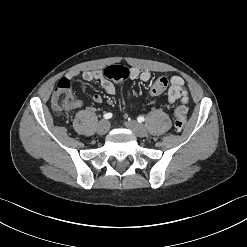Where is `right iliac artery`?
Wrapping results in <instances>:
<instances>
[{
    "label": "right iliac artery",
    "instance_id": "right-iliac-artery-1",
    "mask_svg": "<svg viewBox=\"0 0 247 247\" xmlns=\"http://www.w3.org/2000/svg\"><path fill=\"white\" fill-rule=\"evenodd\" d=\"M105 119H110L112 117V113H106L103 116Z\"/></svg>",
    "mask_w": 247,
    "mask_h": 247
}]
</instances>
